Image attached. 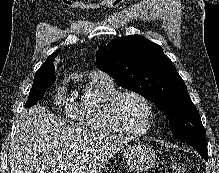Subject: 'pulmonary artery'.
<instances>
[{
  "mask_svg": "<svg viewBox=\"0 0 219 173\" xmlns=\"http://www.w3.org/2000/svg\"><path fill=\"white\" fill-rule=\"evenodd\" d=\"M90 79L103 80V81H111V78L104 72L99 70H92L89 72Z\"/></svg>",
  "mask_w": 219,
  "mask_h": 173,
  "instance_id": "e3ab8cb5",
  "label": "pulmonary artery"
}]
</instances>
